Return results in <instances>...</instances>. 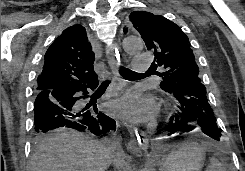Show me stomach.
Wrapping results in <instances>:
<instances>
[{
    "instance_id": "0dacf381",
    "label": "stomach",
    "mask_w": 245,
    "mask_h": 171,
    "mask_svg": "<svg viewBox=\"0 0 245 171\" xmlns=\"http://www.w3.org/2000/svg\"><path fill=\"white\" fill-rule=\"evenodd\" d=\"M205 160V148L192 143L178 146L158 162L160 171H200Z\"/></svg>"
}]
</instances>
